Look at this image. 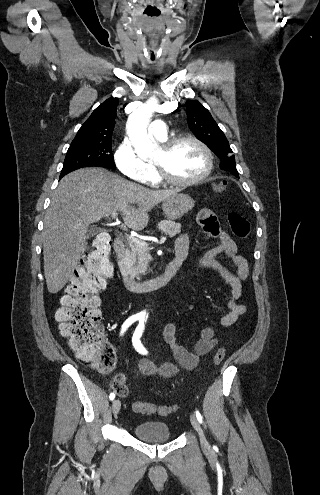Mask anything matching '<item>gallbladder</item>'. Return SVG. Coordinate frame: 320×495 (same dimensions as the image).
I'll return each mask as SVG.
<instances>
[{
  "label": "gallbladder",
  "mask_w": 320,
  "mask_h": 495,
  "mask_svg": "<svg viewBox=\"0 0 320 495\" xmlns=\"http://www.w3.org/2000/svg\"><path fill=\"white\" fill-rule=\"evenodd\" d=\"M99 232H100V229L99 228H97V227H91L87 231V237H93L96 234H98Z\"/></svg>",
  "instance_id": "bac80fb5"
}]
</instances>
